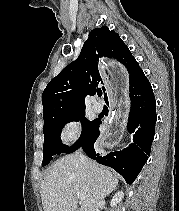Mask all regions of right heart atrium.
I'll return each mask as SVG.
<instances>
[{
	"mask_svg": "<svg viewBox=\"0 0 179 211\" xmlns=\"http://www.w3.org/2000/svg\"><path fill=\"white\" fill-rule=\"evenodd\" d=\"M81 133V123L76 118L68 119L62 126L60 138L63 143L70 144L74 142Z\"/></svg>",
	"mask_w": 179,
	"mask_h": 211,
	"instance_id": "obj_1",
	"label": "right heart atrium"
}]
</instances>
